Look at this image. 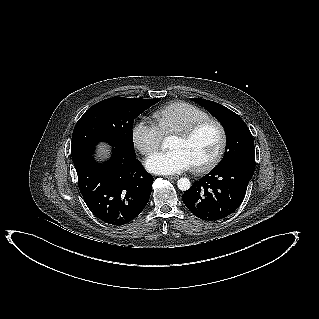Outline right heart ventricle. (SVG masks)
I'll use <instances>...</instances> for the list:
<instances>
[{"instance_id":"obj_1","label":"right heart ventricle","mask_w":319,"mask_h":319,"mask_svg":"<svg viewBox=\"0 0 319 319\" xmlns=\"http://www.w3.org/2000/svg\"><path fill=\"white\" fill-rule=\"evenodd\" d=\"M208 117L209 115L202 109L183 101L169 103L157 109L151 115L153 125L161 135L173 134L198 120Z\"/></svg>"}]
</instances>
